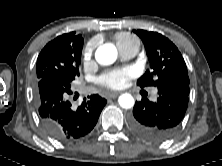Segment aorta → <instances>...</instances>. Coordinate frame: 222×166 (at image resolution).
Listing matches in <instances>:
<instances>
[{"mask_svg": "<svg viewBox=\"0 0 222 166\" xmlns=\"http://www.w3.org/2000/svg\"><path fill=\"white\" fill-rule=\"evenodd\" d=\"M117 49L111 43H105L99 46L95 52L96 61L101 65L113 64L117 59ZM118 102L124 109H130L134 106V98L131 94L125 93L119 96Z\"/></svg>", "mask_w": 222, "mask_h": 166, "instance_id": "aorta-1", "label": "aorta"}]
</instances>
